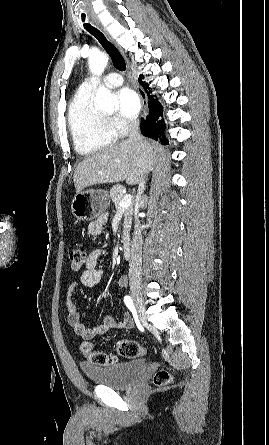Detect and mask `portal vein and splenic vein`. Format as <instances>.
Masks as SVG:
<instances>
[{
  "instance_id": "18ae733b",
  "label": "portal vein and splenic vein",
  "mask_w": 269,
  "mask_h": 445,
  "mask_svg": "<svg viewBox=\"0 0 269 445\" xmlns=\"http://www.w3.org/2000/svg\"><path fill=\"white\" fill-rule=\"evenodd\" d=\"M132 195L131 194H126L124 196V198L121 200V202L119 203V209H126L128 208L131 204H132Z\"/></svg>"
}]
</instances>
